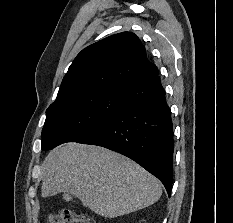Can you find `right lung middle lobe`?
Returning a JSON list of instances; mask_svg holds the SVG:
<instances>
[{
    "label": "right lung middle lobe",
    "mask_w": 233,
    "mask_h": 223,
    "mask_svg": "<svg viewBox=\"0 0 233 223\" xmlns=\"http://www.w3.org/2000/svg\"><path fill=\"white\" fill-rule=\"evenodd\" d=\"M121 89L102 88L59 97L46 111L42 149L79 142L113 118L122 108Z\"/></svg>",
    "instance_id": "dd1d6c3e"
}]
</instances>
